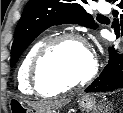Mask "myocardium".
Masks as SVG:
<instances>
[{
  "mask_svg": "<svg viewBox=\"0 0 123 113\" xmlns=\"http://www.w3.org/2000/svg\"><path fill=\"white\" fill-rule=\"evenodd\" d=\"M68 41L77 42L85 47L91 58V69L87 75H85L83 78L75 82L69 84H57L53 86H48L43 82L41 78L40 73L41 64L44 61V59L50 53H52L60 44ZM97 70H98L97 62L93 57V55L91 54V52L88 50L85 39L76 33H65L52 37L46 40L41 45V47L37 50L32 59L29 70V76L32 86L40 92H62L69 91L87 84L96 76Z\"/></svg>",
  "mask_w": 123,
  "mask_h": 113,
  "instance_id": "1",
  "label": "myocardium"
}]
</instances>
